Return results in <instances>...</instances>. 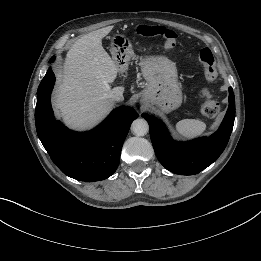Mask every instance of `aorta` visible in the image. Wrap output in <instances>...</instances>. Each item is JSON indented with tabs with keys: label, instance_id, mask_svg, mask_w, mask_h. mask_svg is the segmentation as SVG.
<instances>
[{
	"label": "aorta",
	"instance_id": "1",
	"mask_svg": "<svg viewBox=\"0 0 261 261\" xmlns=\"http://www.w3.org/2000/svg\"><path fill=\"white\" fill-rule=\"evenodd\" d=\"M131 130L137 136H144L149 130V125L145 119L138 118L133 121Z\"/></svg>",
	"mask_w": 261,
	"mask_h": 261
}]
</instances>
